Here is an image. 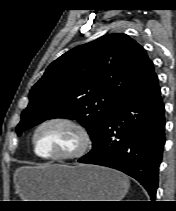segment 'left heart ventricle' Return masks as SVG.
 <instances>
[{
  "mask_svg": "<svg viewBox=\"0 0 176 211\" xmlns=\"http://www.w3.org/2000/svg\"><path fill=\"white\" fill-rule=\"evenodd\" d=\"M36 145L41 155H62L71 153L77 148L78 138L68 126L51 124L40 130Z\"/></svg>",
  "mask_w": 176,
  "mask_h": 211,
  "instance_id": "left-heart-ventricle-1",
  "label": "left heart ventricle"
}]
</instances>
